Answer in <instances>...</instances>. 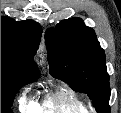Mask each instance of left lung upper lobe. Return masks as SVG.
Listing matches in <instances>:
<instances>
[{
    "label": "left lung upper lobe",
    "mask_w": 121,
    "mask_h": 113,
    "mask_svg": "<svg viewBox=\"0 0 121 113\" xmlns=\"http://www.w3.org/2000/svg\"><path fill=\"white\" fill-rule=\"evenodd\" d=\"M48 62L53 77L77 92L86 93L99 113H109V75L103 49L94 31L80 18H70L45 34Z\"/></svg>",
    "instance_id": "left-lung-upper-lobe-1"
}]
</instances>
